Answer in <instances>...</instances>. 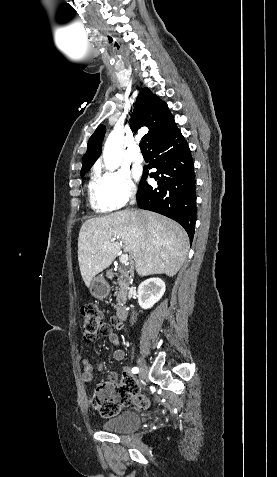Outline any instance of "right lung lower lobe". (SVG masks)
Wrapping results in <instances>:
<instances>
[{
  "label": "right lung lower lobe",
  "mask_w": 277,
  "mask_h": 477,
  "mask_svg": "<svg viewBox=\"0 0 277 477\" xmlns=\"http://www.w3.org/2000/svg\"><path fill=\"white\" fill-rule=\"evenodd\" d=\"M149 168L157 171L150 177L157 186L145 182V168L137 191V205L177 221L193 240L196 222V190L194 164L190 149L180 130L175 128L163 140L149 147Z\"/></svg>",
  "instance_id": "right-lung-lower-lobe-1"
}]
</instances>
